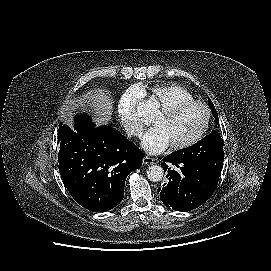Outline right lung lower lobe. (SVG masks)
Instances as JSON below:
<instances>
[{
    "instance_id": "98d812e1",
    "label": "right lung lower lobe",
    "mask_w": 271,
    "mask_h": 271,
    "mask_svg": "<svg viewBox=\"0 0 271 271\" xmlns=\"http://www.w3.org/2000/svg\"><path fill=\"white\" fill-rule=\"evenodd\" d=\"M75 121L74 130L62 123L58 130L61 178L81 206L106 212L122 201L126 177L142 165L144 154L111 126Z\"/></svg>"
}]
</instances>
